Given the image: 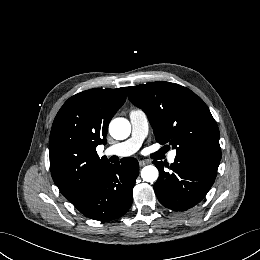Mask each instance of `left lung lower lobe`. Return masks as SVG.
Here are the masks:
<instances>
[{
    "mask_svg": "<svg viewBox=\"0 0 260 260\" xmlns=\"http://www.w3.org/2000/svg\"><path fill=\"white\" fill-rule=\"evenodd\" d=\"M219 162L220 160L204 156L177 154L174 163L170 165L172 173H167L163 162L154 161L160 172L154 184L159 202L177 211L195 206L214 183Z\"/></svg>",
    "mask_w": 260,
    "mask_h": 260,
    "instance_id": "left-lung-lower-lobe-1",
    "label": "left lung lower lobe"
}]
</instances>
